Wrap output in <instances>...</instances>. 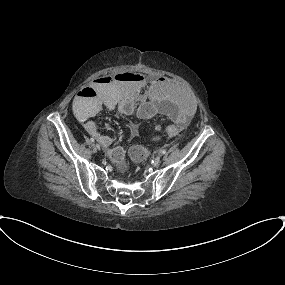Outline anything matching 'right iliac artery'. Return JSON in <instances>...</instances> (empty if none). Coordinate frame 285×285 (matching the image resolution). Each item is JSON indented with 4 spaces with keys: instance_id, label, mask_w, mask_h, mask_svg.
<instances>
[{
    "instance_id": "82829eb1",
    "label": "right iliac artery",
    "mask_w": 285,
    "mask_h": 285,
    "mask_svg": "<svg viewBox=\"0 0 285 285\" xmlns=\"http://www.w3.org/2000/svg\"><path fill=\"white\" fill-rule=\"evenodd\" d=\"M90 141H91V142H95V139H94V138H90Z\"/></svg>"
}]
</instances>
